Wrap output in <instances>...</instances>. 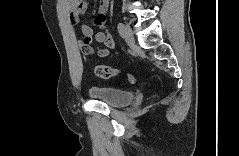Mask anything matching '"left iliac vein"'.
<instances>
[{
    "instance_id": "1",
    "label": "left iliac vein",
    "mask_w": 239,
    "mask_h": 156,
    "mask_svg": "<svg viewBox=\"0 0 239 156\" xmlns=\"http://www.w3.org/2000/svg\"><path fill=\"white\" fill-rule=\"evenodd\" d=\"M124 39L128 45H133L135 42L133 32L130 28V26L126 25L124 26Z\"/></svg>"
}]
</instances>
